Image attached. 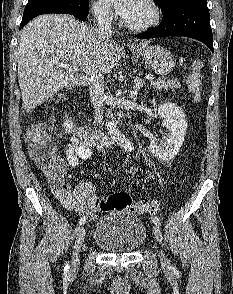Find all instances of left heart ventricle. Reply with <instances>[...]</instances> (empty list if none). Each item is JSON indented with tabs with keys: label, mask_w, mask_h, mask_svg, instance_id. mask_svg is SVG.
<instances>
[{
	"label": "left heart ventricle",
	"mask_w": 233,
	"mask_h": 294,
	"mask_svg": "<svg viewBox=\"0 0 233 294\" xmlns=\"http://www.w3.org/2000/svg\"><path fill=\"white\" fill-rule=\"evenodd\" d=\"M150 16V11L146 4L143 2L140 3L138 9L134 12L132 16H130L127 21L131 23H141L146 21Z\"/></svg>",
	"instance_id": "obj_1"
}]
</instances>
